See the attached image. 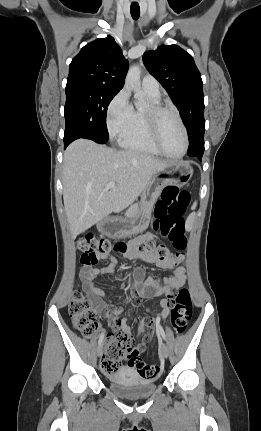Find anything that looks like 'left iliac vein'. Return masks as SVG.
Masks as SVG:
<instances>
[{
	"label": "left iliac vein",
	"instance_id": "1",
	"mask_svg": "<svg viewBox=\"0 0 261 431\" xmlns=\"http://www.w3.org/2000/svg\"><path fill=\"white\" fill-rule=\"evenodd\" d=\"M160 347H161V352H162L163 356L165 358H168V356H169V349H168L167 345L165 343L161 342L160 343Z\"/></svg>",
	"mask_w": 261,
	"mask_h": 431
}]
</instances>
